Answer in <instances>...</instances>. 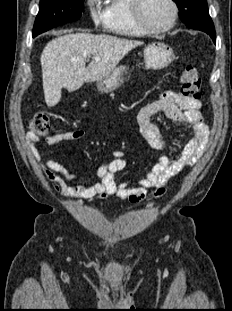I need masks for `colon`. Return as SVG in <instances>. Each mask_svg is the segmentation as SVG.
<instances>
[{
  "label": "colon",
  "mask_w": 232,
  "mask_h": 311,
  "mask_svg": "<svg viewBox=\"0 0 232 311\" xmlns=\"http://www.w3.org/2000/svg\"><path fill=\"white\" fill-rule=\"evenodd\" d=\"M181 93L183 96L199 100L201 80L198 74L197 68L192 64H187L181 72ZM29 129L35 134L45 135L50 127L49 115L45 111L36 113L29 122ZM165 193L164 188H159L155 193L154 197L159 198Z\"/></svg>",
  "instance_id": "colon-1"
}]
</instances>
